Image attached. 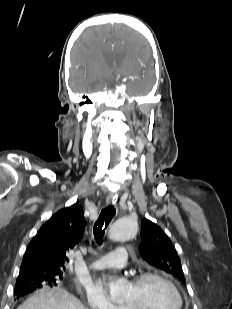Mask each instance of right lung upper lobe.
Listing matches in <instances>:
<instances>
[{
  "label": "right lung upper lobe",
  "instance_id": "cb5924a9",
  "mask_svg": "<svg viewBox=\"0 0 232 309\" xmlns=\"http://www.w3.org/2000/svg\"><path fill=\"white\" fill-rule=\"evenodd\" d=\"M85 229L83 209L77 203L54 214L29 243L20 271L65 270L66 254Z\"/></svg>",
  "mask_w": 232,
  "mask_h": 309
}]
</instances>
